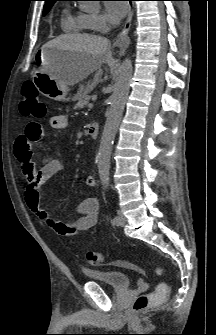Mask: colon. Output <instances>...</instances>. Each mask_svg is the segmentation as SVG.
<instances>
[{
	"label": "colon",
	"mask_w": 216,
	"mask_h": 335,
	"mask_svg": "<svg viewBox=\"0 0 216 335\" xmlns=\"http://www.w3.org/2000/svg\"><path fill=\"white\" fill-rule=\"evenodd\" d=\"M20 110L24 116L41 118L46 114V106L32 82H25L22 87V101ZM27 136V135H25ZM84 257L87 263L92 266H99L103 262V256L100 252L86 250ZM161 273L159 269L156 271ZM169 294V287L165 284L159 285L155 291L142 294L135 300L133 310L136 312L144 311L150 307L156 306L166 299Z\"/></svg>",
	"instance_id": "1"
}]
</instances>
